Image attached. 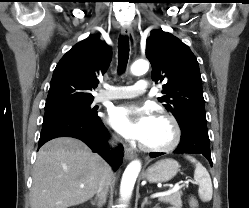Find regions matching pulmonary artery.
<instances>
[{
  "mask_svg": "<svg viewBox=\"0 0 249 208\" xmlns=\"http://www.w3.org/2000/svg\"><path fill=\"white\" fill-rule=\"evenodd\" d=\"M149 90V83L146 79H141L131 86H116L109 88L105 93L96 96V101L103 102L116 99L135 98Z\"/></svg>",
  "mask_w": 249,
  "mask_h": 208,
  "instance_id": "obj_1",
  "label": "pulmonary artery"
}]
</instances>
